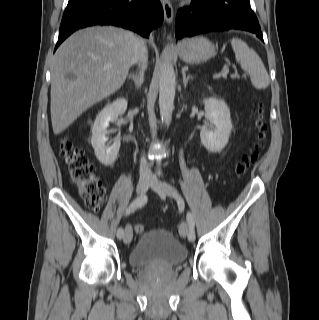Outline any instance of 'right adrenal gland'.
<instances>
[{
  "mask_svg": "<svg viewBox=\"0 0 319 320\" xmlns=\"http://www.w3.org/2000/svg\"><path fill=\"white\" fill-rule=\"evenodd\" d=\"M129 79H132L135 83V87L137 89L140 88V86L142 85L143 83V79H144V73L143 71H140L138 74H135V73H130L129 76H128Z\"/></svg>",
  "mask_w": 319,
  "mask_h": 320,
  "instance_id": "1",
  "label": "right adrenal gland"
}]
</instances>
